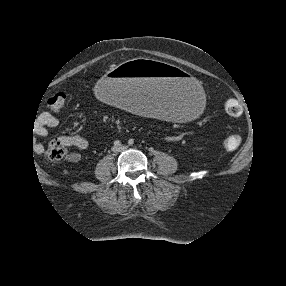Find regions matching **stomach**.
<instances>
[{"instance_id":"stomach-1","label":"stomach","mask_w":286,"mask_h":286,"mask_svg":"<svg viewBox=\"0 0 286 286\" xmlns=\"http://www.w3.org/2000/svg\"><path fill=\"white\" fill-rule=\"evenodd\" d=\"M92 91L101 103L175 125L197 122L209 105L207 88L197 77L145 58L118 63L94 82Z\"/></svg>"}]
</instances>
